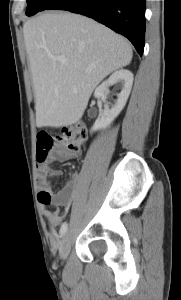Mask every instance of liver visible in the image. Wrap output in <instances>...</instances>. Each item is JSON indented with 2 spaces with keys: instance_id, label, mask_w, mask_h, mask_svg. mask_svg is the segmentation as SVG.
Here are the masks:
<instances>
[{
  "instance_id": "liver-1",
  "label": "liver",
  "mask_w": 181,
  "mask_h": 300,
  "mask_svg": "<svg viewBox=\"0 0 181 300\" xmlns=\"http://www.w3.org/2000/svg\"><path fill=\"white\" fill-rule=\"evenodd\" d=\"M23 34L39 128L77 123L97 85L133 56L124 37L74 13H43L24 23Z\"/></svg>"
}]
</instances>
